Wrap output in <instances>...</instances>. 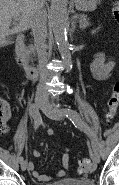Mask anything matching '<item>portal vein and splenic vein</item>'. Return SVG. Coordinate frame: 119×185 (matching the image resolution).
Masks as SVG:
<instances>
[{"mask_svg":"<svg viewBox=\"0 0 119 185\" xmlns=\"http://www.w3.org/2000/svg\"><path fill=\"white\" fill-rule=\"evenodd\" d=\"M14 18H15V19H19V15H18V14H15V15H14ZM74 18H77V16H75Z\"/></svg>","mask_w":119,"mask_h":185,"instance_id":"portal-vein-and-splenic-vein-1","label":"portal vein and splenic vein"}]
</instances>
